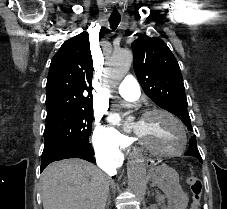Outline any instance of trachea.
<instances>
[{"instance_id":"1","label":"trachea","mask_w":227,"mask_h":209,"mask_svg":"<svg viewBox=\"0 0 227 209\" xmlns=\"http://www.w3.org/2000/svg\"><path fill=\"white\" fill-rule=\"evenodd\" d=\"M120 20H121V16L118 12L111 13V16L109 17V24H110L111 30H116V28L120 23Z\"/></svg>"}]
</instances>
